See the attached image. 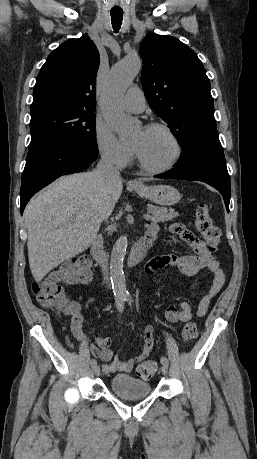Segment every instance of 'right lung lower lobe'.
Listing matches in <instances>:
<instances>
[{"mask_svg": "<svg viewBox=\"0 0 257 459\" xmlns=\"http://www.w3.org/2000/svg\"><path fill=\"white\" fill-rule=\"evenodd\" d=\"M97 157L98 152L73 143L31 142L21 180V214L35 193L62 175L87 169Z\"/></svg>", "mask_w": 257, "mask_h": 459, "instance_id": "right-lung-lower-lobe-1", "label": "right lung lower lobe"}]
</instances>
